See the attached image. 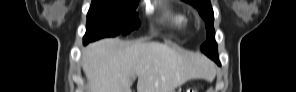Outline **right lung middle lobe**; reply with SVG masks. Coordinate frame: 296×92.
Here are the masks:
<instances>
[{
  "label": "right lung middle lobe",
  "instance_id": "right-lung-middle-lobe-1",
  "mask_svg": "<svg viewBox=\"0 0 296 92\" xmlns=\"http://www.w3.org/2000/svg\"><path fill=\"white\" fill-rule=\"evenodd\" d=\"M137 5V1L129 0H92L84 43L120 33L126 35L137 29L140 26Z\"/></svg>",
  "mask_w": 296,
  "mask_h": 92
}]
</instances>
